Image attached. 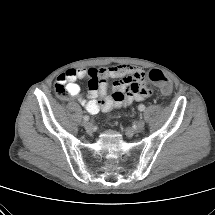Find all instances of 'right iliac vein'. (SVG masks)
<instances>
[{"instance_id": "right-iliac-vein-1", "label": "right iliac vein", "mask_w": 215, "mask_h": 215, "mask_svg": "<svg viewBox=\"0 0 215 215\" xmlns=\"http://www.w3.org/2000/svg\"><path fill=\"white\" fill-rule=\"evenodd\" d=\"M84 127L88 132H91L93 130V125L90 122H84Z\"/></svg>"}]
</instances>
